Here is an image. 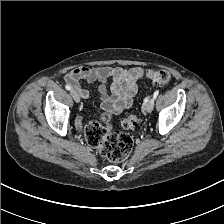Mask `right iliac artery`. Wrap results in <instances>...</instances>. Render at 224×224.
Segmentation results:
<instances>
[{"instance_id": "82829eb1", "label": "right iliac artery", "mask_w": 224, "mask_h": 224, "mask_svg": "<svg viewBox=\"0 0 224 224\" xmlns=\"http://www.w3.org/2000/svg\"><path fill=\"white\" fill-rule=\"evenodd\" d=\"M65 88H66L68 91H71V89H72L70 85H66Z\"/></svg>"}]
</instances>
